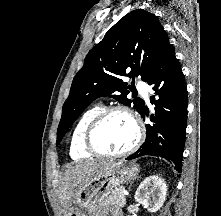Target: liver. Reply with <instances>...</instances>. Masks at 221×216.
<instances>
[{
  "instance_id": "1",
  "label": "liver",
  "mask_w": 221,
  "mask_h": 216,
  "mask_svg": "<svg viewBox=\"0 0 221 216\" xmlns=\"http://www.w3.org/2000/svg\"><path fill=\"white\" fill-rule=\"evenodd\" d=\"M112 162L85 160L78 162L75 166H69L64 171L59 185V199L64 208L65 215L70 211V207L78 191L97 173L109 166Z\"/></svg>"
}]
</instances>
